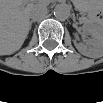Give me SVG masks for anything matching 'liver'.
<instances>
[{
  "label": "liver",
  "instance_id": "liver-1",
  "mask_svg": "<svg viewBox=\"0 0 103 103\" xmlns=\"http://www.w3.org/2000/svg\"><path fill=\"white\" fill-rule=\"evenodd\" d=\"M42 3L27 4L22 0H6L1 2V55H10L23 45L30 25V12Z\"/></svg>",
  "mask_w": 103,
  "mask_h": 103
}]
</instances>
